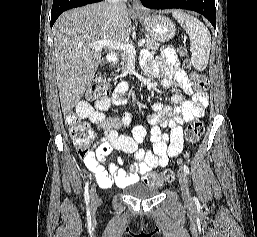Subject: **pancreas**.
Instances as JSON below:
<instances>
[{
    "label": "pancreas",
    "instance_id": "cf45deb5",
    "mask_svg": "<svg viewBox=\"0 0 257 237\" xmlns=\"http://www.w3.org/2000/svg\"><path fill=\"white\" fill-rule=\"evenodd\" d=\"M145 42H146V45H145L146 49L152 50L153 53L156 50H158L159 47H160V44L157 43L156 41H154L153 39L147 38L145 40ZM128 59H129V54L124 52L122 54V59H121V69H122V71L126 70V65H127Z\"/></svg>",
    "mask_w": 257,
    "mask_h": 237
}]
</instances>
